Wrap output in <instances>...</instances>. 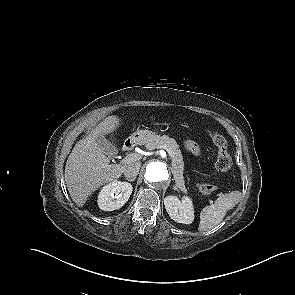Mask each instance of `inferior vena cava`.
Here are the masks:
<instances>
[{"mask_svg":"<svg viewBox=\"0 0 295 295\" xmlns=\"http://www.w3.org/2000/svg\"><path fill=\"white\" fill-rule=\"evenodd\" d=\"M141 163H129L125 166L123 173L127 178H136L139 173Z\"/></svg>","mask_w":295,"mask_h":295,"instance_id":"602c4592","label":"inferior vena cava"}]
</instances>
